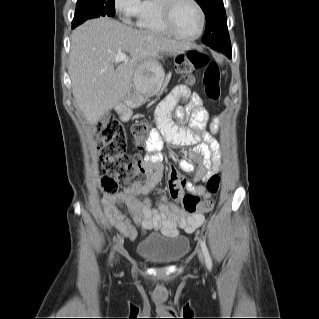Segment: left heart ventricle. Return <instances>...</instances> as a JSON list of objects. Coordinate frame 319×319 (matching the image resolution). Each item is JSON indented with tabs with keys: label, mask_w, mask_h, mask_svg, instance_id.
I'll return each mask as SVG.
<instances>
[{
	"label": "left heart ventricle",
	"mask_w": 319,
	"mask_h": 319,
	"mask_svg": "<svg viewBox=\"0 0 319 319\" xmlns=\"http://www.w3.org/2000/svg\"><path fill=\"white\" fill-rule=\"evenodd\" d=\"M199 14L194 5L188 1H181L173 13L175 30L183 36H194L199 29Z\"/></svg>",
	"instance_id": "b2bd125f"
}]
</instances>
